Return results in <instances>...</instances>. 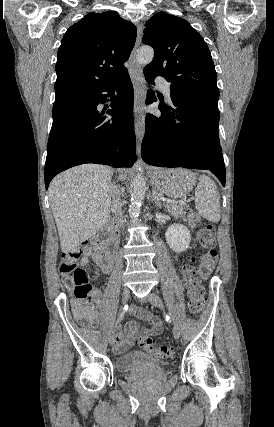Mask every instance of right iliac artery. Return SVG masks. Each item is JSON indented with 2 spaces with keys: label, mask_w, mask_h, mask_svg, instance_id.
Segmentation results:
<instances>
[{
  "label": "right iliac artery",
  "mask_w": 274,
  "mask_h": 427,
  "mask_svg": "<svg viewBox=\"0 0 274 427\" xmlns=\"http://www.w3.org/2000/svg\"><path fill=\"white\" fill-rule=\"evenodd\" d=\"M127 310H128V305H125L123 310L121 311L120 315L118 316V319L116 321V325L123 319L124 314L126 313Z\"/></svg>",
  "instance_id": "obj_1"
}]
</instances>
